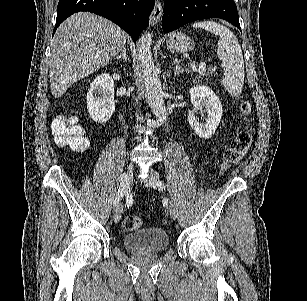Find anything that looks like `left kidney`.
<instances>
[{
    "mask_svg": "<svg viewBox=\"0 0 307 301\" xmlns=\"http://www.w3.org/2000/svg\"><path fill=\"white\" fill-rule=\"evenodd\" d=\"M189 92L193 104V108L188 114L189 124L200 138H211L221 120L222 104L217 94L207 84H196V86L189 88ZM197 114H206L203 116L205 124L199 122Z\"/></svg>",
    "mask_w": 307,
    "mask_h": 301,
    "instance_id": "1",
    "label": "left kidney"
}]
</instances>
